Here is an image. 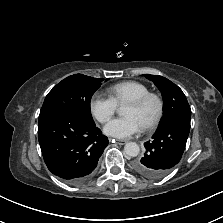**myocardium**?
<instances>
[{
    "mask_svg": "<svg viewBox=\"0 0 223 223\" xmlns=\"http://www.w3.org/2000/svg\"><path fill=\"white\" fill-rule=\"evenodd\" d=\"M150 99L156 100V102L158 104V109H157L155 116L149 122H147L146 124H144L141 127L142 130H144V131L152 130L160 123V121L164 115V111H165L164 98L159 93L149 91V92L127 102V104H129V105H132L135 107H141Z\"/></svg>",
    "mask_w": 223,
    "mask_h": 223,
    "instance_id": "f54148a6",
    "label": "myocardium"
}]
</instances>
